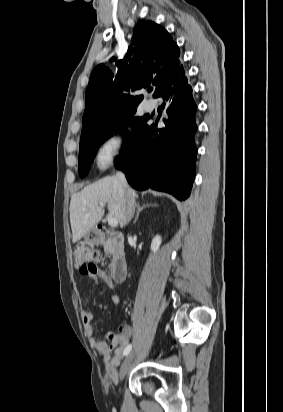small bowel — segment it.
Listing matches in <instances>:
<instances>
[{
    "label": "small bowel",
    "mask_w": 283,
    "mask_h": 412,
    "mask_svg": "<svg viewBox=\"0 0 283 412\" xmlns=\"http://www.w3.org/2000/svg\"><path fill=\"white\" fill-rule=\"evenodd\" d=\"M96 283L100 281L105 282L110 288L114 287V282L111 277L105 273L97 275H88ZM112 301L115 304H119L121 299L118 295H112ZM85 333L90 337L93 346L100 353L106 369V379L109 382H116L118 380L117 365L119 358L124 353L126 345L128 344L132 336V328L129 325L120 326L119 333L115 334L114 339L109 344L98 339L94 332L93 322L95 319L94 313L89 310H83L81 313Z\"/></svg>",
    "instance_id": "obj_1"
}]
</instances>
